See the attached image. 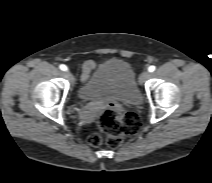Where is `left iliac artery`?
Listing matches in <instances>:
<instances>
[{"label": "left iliac artery", "mask_w": 212, "mask_h": 183, "mask_svg": "<svg viewBox=\"0 0 212 183\" xmlns=\"http://www.w3.org/2000/svg\"><path fill=\"white\" fill-rule=\"evenodd\" d=\"M155 69H156V67L152 65L148 68V71L153 72V71H155Z\"/></svg>", "instance_id": "left-iliac-artery-1"}]
</instances>
